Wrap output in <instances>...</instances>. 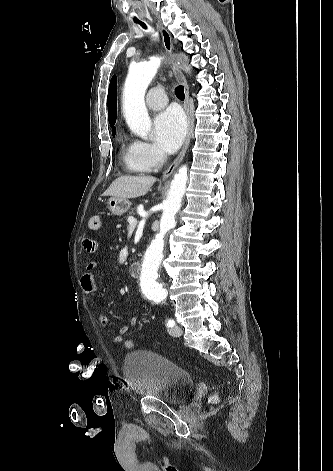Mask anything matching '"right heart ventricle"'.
I'll use <instances>...</instances> for the list:
<instances>
[{
	"mask_svg": "<svg viewBox=\"0 0 333 471\" xmlns=\"http://www.w3.org/2000/svg\"><path fill=\"white\" fill-rule=\"evenodd\" d=\"M123 157H124L125 164L130 171L135 172V173L147 172V170L141 167L133 158L131 150H130V145L123 147Z\"/></svg>",
	"mask_w": 333,
	"mask_h": 471,
	"instance_id": "right-heart-ventricle-1",
	"label": "right heart ventricle"
}]
</instances>
